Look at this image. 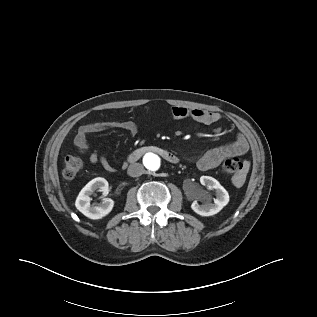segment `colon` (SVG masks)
I'll return each mask as SVG.
<instances>
[{
    "label": "colon",
    "mask_w": 317,
    "mask_h": 317,
    "mask_svg": "<svg viewBox=\"0 0 317 317\" xmlns=\"http://www.w3.org/2000/svg\"><path fill=\"white\" fill-rule=\"evenodd\" d=\"M82 160L73 155L66 156L63 165V175L67 179H73L82 169ZM222 169L229 175H239L243 171L242 162L234 157H230L224 160Z\"/></svg>",
    "instance_id": "colon-1"
}]
</instances>
